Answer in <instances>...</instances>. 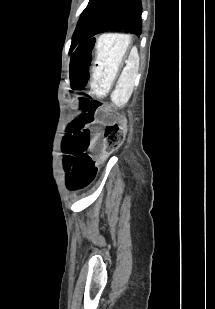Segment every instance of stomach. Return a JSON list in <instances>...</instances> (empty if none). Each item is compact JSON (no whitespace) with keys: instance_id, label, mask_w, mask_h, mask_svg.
Here are the masks:
<instances>
[{"instance_id":"1","label":"stomach","mask_w":215,"mask_h":309,"mask_svg":"<svg viewBox=\"0 0 215 309\" xmlns=\"http://www.w3.org/2000/svg\"><path fill=\"white\" fill-rule=\"evenodd\" d=\"M132 49V38L125 33H105L96 41V59L91 74L94 94L104 96L110 90L123 60Z\"/></svg>"}]
</instances>
